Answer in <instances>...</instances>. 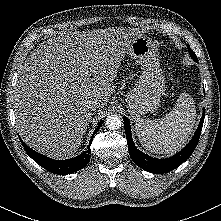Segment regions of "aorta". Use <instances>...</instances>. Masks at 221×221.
Masks as SVG:
<instances>
[{
	"label": "aorta",
	"mask_w": 221,
	"mask_h": 221,
	"mask_svg": "<svg viewBox=\"0 0 221 221\" xmlns=\"http://www.w3.org/2000/svg\"><path fill=\"white\" fill-rule=\"evenodd\" d=\"M105 125L109 130H117L122 126V119L116 114H111L106 118Z\"/></svg>",
	"instance_id": "obj_1"
}]
</instances>
